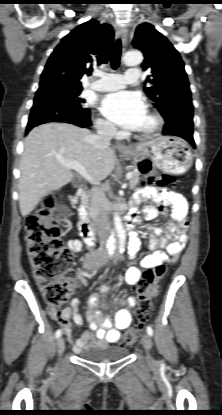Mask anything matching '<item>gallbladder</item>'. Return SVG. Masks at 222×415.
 <instances>
[{
  "label": "gallbladder",
  "instance_id": "1",
  "mask_svg": "<svg viewBox=\"0 0 222 415\" xmlns=\"http://www.w3.org/2000/svg\"><path fill=\"white\" fill-rule=\"evenodd\" d=\"M72 185L75 186V187L79 186L80 185V180L77 179V178L73 179L72 180Z\"/></svg>",
  "mask_w": 222,
  "mask_h": 415
}]
</instances>
